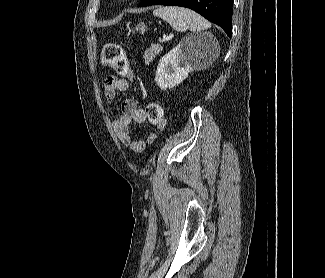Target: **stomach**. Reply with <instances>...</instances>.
<instances>
[{"label":"stomach","mask_w":325,"mask_h":278,"mask_svg":"<svg viewBox=\"0 0 325 278\" xmlns=\"http://www.w3.org/2000/svg\"><path fill=\"white\" fill-rule=\"evenodd\" d=\"M145 29H146V26L144 23H140L138 24L136 27H135V30H133V33H135V31L137 32H141V33H144L145 32Z\"/></svg>","instance_id":"obj_1"}]
</instances>
